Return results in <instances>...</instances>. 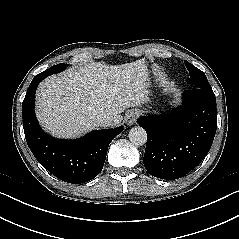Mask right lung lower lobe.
I'll return each instance as SVG.
<instances>
[{
  "label": "right lung lower lobe",
  "instance_id": "right-lung-lower-lobe-1",
  "mask_svg": "<svg viewBox=\"0 0 239 239\" xmlns=\"http://www.w3.org/2000/svg\"><path fill=\"white\" fill-rule=\"evenodd\" d=\"M46 77L40 73L33 78L22 103L27 144L39 163L57 178L74 184L90 181L101 172L108 146L123 127L92 131L76 140L49 136L40 128L34 112L36 88Z\"/></svg>",
  "mask_w": 239,
  "mask_h": 239
}]
</instances>
